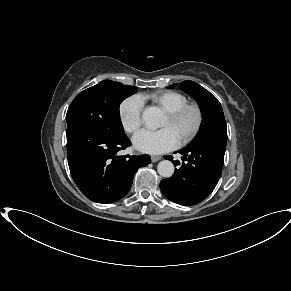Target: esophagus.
<instances>
[{"label": "esophagus", "mask_w": 291, "mask_h": 291, "mask_svg": "<svg viewBox=\"0 0 291 291\" xmlns=\"http://www.w3.org/2000/svg\"><path fill=\"white\" fill-rule=\"evenodd\" d=\"M159 160H161V156H151V161L152 162H157Z\"/></svg>", "instance_id": "obj_1"}]
</instances>
